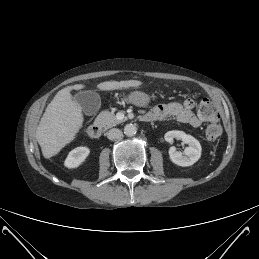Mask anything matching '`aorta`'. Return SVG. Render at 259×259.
<instances>
[{"instance_id":"762f6f07","label":"aorta","mask_w":259,"mask_h":259,"mask_svg":"<svg viewBox=\"0 0 259 259\" xmlns=\"http://www.w3.org/2000/svg\"><path fill=\"white\" fill-rule=\"evenodd\" d=\"M137 128L134 124H127L124 127V134L128 137H132L136 134Z\"/></svg>"}]
</instances>
